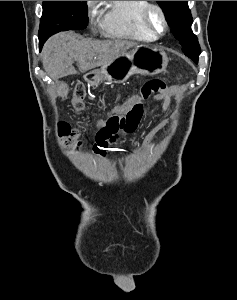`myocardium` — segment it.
<instances>
[{
  "label": "myocardium",
  "mask_w": 237,
  "mask_h": 300,
  "mask_svg": "<svg viewBox=\"0 0 237 300\" xmlns=\"http://www.w3.org/2000/svg\"><path fill=\"white\" fill-rule=\"evenodd\" d=\"M157 16L160 28L156 27L153 17ZM143 20L147 29L154 36H163L167 33L169 25L164 9L157 3H148L143 10Z\"/></svg>",
  "instance_id": "myocardium-1"
}]
</instances>
